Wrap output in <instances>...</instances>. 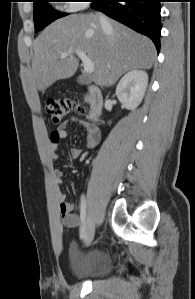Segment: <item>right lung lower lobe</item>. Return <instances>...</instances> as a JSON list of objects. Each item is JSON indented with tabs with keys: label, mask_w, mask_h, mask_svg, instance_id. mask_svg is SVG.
I'll return each mask as SVG.
<instances>
[{
	"label": "right lung lower lobe",
	"mask_w": 195,
	"mask_h": 299,
	"mask_svg": "<svg viewBox=\"0 0 195 299\" xmlns=\"http://www.w3.org/2000/svg\"><path fill=\"white\" fill-rule=\"evenodd\" d=\"M161 0H93L92 7L148 36L160 49Z\"/></svg>",
	"instance_id": "right-lung-lower-lobe-1"
}]
</instances>
